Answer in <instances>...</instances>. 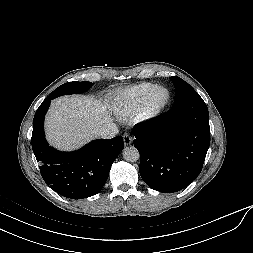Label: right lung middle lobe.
Segmentation results:
<instances>
[{"mask_svg": "<svg viewBox=\"0 0 253 253\" xmlns=\"http://www.w3.org/2000/svg\"><path fill=\"white\" fill-rule=\"evenodd\" d=\"M92 86L91 82H68L55 89L49 96L56 98L62 95L77 94L86 91Z\"/></svg>", "mask_w": 253, "mask_h": 253, "instance_id": "obj_1", "label": "right lung middle lobe"}]
</instances>
